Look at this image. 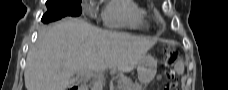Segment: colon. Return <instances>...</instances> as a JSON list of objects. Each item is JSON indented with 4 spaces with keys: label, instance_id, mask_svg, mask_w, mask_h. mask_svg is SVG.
<instances>
[{
    "label": "colon",
    "instance_id": "1",
    "mask_svg": "<svg viewBox=\"0 0 228 90\" xmlns=\"http://www.w3.org/2000/svg\"><path fill=\"white\" fill-rule=\"evenodd\" d=\"M176 57H177V53L175 50H167L165 55H164V64L167 68H169V77L171 79L175 78V73L172 70V66L176 60ZM173 89H174V85H172L170 83H168L165 86V90H173Z\"/></svg>",
    "mask_w": 228,
    "mask_h": 90
}]
</instances>
